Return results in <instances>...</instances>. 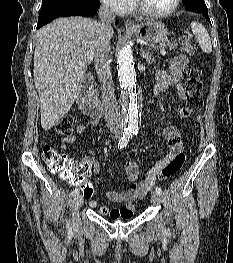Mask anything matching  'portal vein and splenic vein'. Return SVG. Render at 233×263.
Returning a JSON list of instances; mask_svg holds the SVG:
<instances>
[{
    "mask_svg": "<svg viewBox=\"0 0 233 263\" xmlns=\"http://www.w3.org/2000/svg\"><path fill=\"white\" fill-rule=\"evenodd\" d=\"M160 53H161V55H163V56H164V55L166 54V51H165V50H161V52H160Z\"/></svg>",
    "mask_w": 233,
    "mask_h": 263,
    "instance_id": "18ae733b",
    "label": "portal vein and splenic vein"
}]
</instances>
